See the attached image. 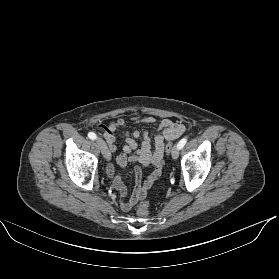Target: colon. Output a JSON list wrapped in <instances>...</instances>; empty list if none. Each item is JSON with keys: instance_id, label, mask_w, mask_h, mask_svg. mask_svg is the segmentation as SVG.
<instances>
[{"instance_id": "colon-1", "label": "colon", "mask_w": 279, "mask_h": 279, "mask_svg": "<svg viewBox=\"0 0 279 279\" xmlns=\"http://www.w3.org/2000/svg\"><path fill=\"white\" fill-rule=\"evenodd\" d=\"M165 149L167 154H169L170 151L172 150V143L168 142ZM148 213H149V203L147 201L140 203L137 209V214L141 217H145L148 215Z\"/></svg>"}]
</instances>
